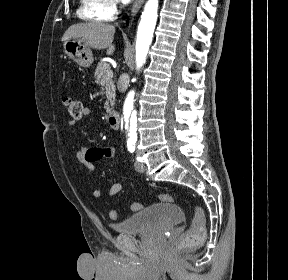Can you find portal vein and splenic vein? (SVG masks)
<instances>
[{
	"mask_svg": "<svg viewBox=\"0 0 288 280\" xmlns=\"http://www.w3.org/2000/svg\"><path fill=\"white\" fill-rule=\"evenodd\" d=\"M112 76H113L112 70L107 71L106 78H110V77H112Z\"/></svg>",
	"mask_w": 288,
	"mask_h": 280,
	"instance_id": "18ae733b",
	"label": "portal vein and splenic vein"
}]
</instances>
